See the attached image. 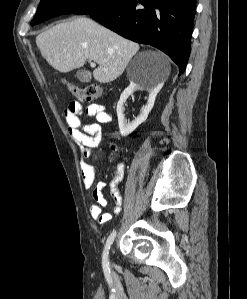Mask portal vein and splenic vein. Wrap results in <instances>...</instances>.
Returning <instances> with one entry per match:
<instances>
[{
  "label": "portal vein and splenic vein",
  "instance_id": "obj_1",
  "mask_svg": "<svg viewBox=\"0 0 247 299\" xmlns=\"http://www.w3.org/2000/svg\"><path fill=\"white\" fill-rule=\"evenodd\" d=\"M90 65H91V67H95L96 66V64L94 62H91V61H90Z\"/></svg>",
  "mask_w": 247,
  "mask_h": 299
}]
</instances>
